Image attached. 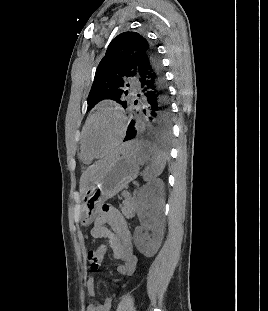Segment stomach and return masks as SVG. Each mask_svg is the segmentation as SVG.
<instances>
[{"instance_id":"0dacf381","label":"stomach","mask_w":268,"mask_h":311,"mask_svg":"<svg viewBox=\"0 0 268 311\" xmlns=\"http://www.w3.org/2000/svg\"><path fill=\"white\" fill-rule=\"evenodd\" d=\"M140 148L125 146L122 156L116 157L88 187L81 205L80 221L83 226H89L94 221L102 203L114 197L137 178L140 165L138 159L147 152L146 149L140 154Z\"/></svg>"}]
</instances>
